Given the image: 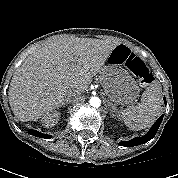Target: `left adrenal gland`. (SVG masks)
Here are the masks:
<instances>
[{
	"instance_id": "obj_1",
	"label": "left adrenal gland",
	"mask_w": 178,
	"mask_h": 178,
	"mask_svg": "<svg viewBox=\"0 0 178 178\" xmlns=\"http://www.w3.org/2000/svg\"><path fill=\"white\" fill-rule=\"evenodd\" d=\"M108 106L110 107V114H111V116H114L113 115V110H115V107L113 106V104L111 102H108Z\"/></svg>"
}]
</instances>
